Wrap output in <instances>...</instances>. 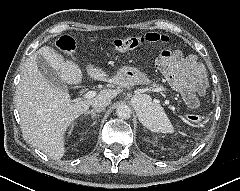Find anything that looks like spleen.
Here are the masks:
<instances>
[{"label":"spleen","instance_id":"obj_1","mask_svg":"<svg viewBox=\"0 0 240 191\" xmlns=\"http://www.w3.org/2000/svg\"><path fill=\"white\" fill-rule=\"evenodd\" d=\"M144 98L149 102L145 113L140 116L144 126L153 132L173 133L174 128L163 108L153 104L148 97Z\"/></svg>","mask_w":240,"mask_h":191}]
</instances>
